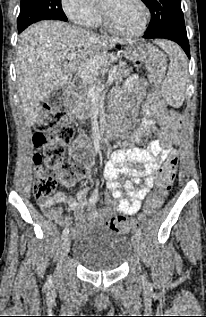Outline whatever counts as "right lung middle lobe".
<instances>
[{"mask_svg": "<svg viewBox=\"0 0 206 317\" xmlns=\"http://www.w3.org/2000/svg\"><path fill=\"white\" fill-rule=\"evenodd\" d=\"M55 19L67 21L61 7V0H21L17 19L18 32L40 20Z\"/></svg>", "mask_w": 206, "mask_h": 317, "instance_id": "1", "label": "right lung middle lobe"}]
</instances>
